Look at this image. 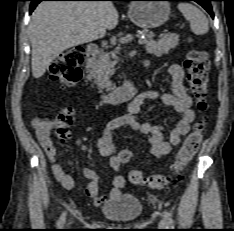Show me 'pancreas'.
Masks as SVG:
<instances>
[{
    "mask_svg": "<svg viewBox=\"0 0 234 231\" xmlns=\"http://www.w3.org/2000/svg\"><path fill=\"white\" fill-rule=\"evenodd\" d=\"M143 33L148 38L145 45L147 52L157 57L167 54L179 44V36L176 34H166L158 41H155L153 40L154 34L147 31ZM116 54L117 51L102 52L92 61L89 77L95 79L99 89H106L111 86L110 76L113 75L114 66L118 61Z\"/></svg>",
    "mask_w": 234,
    "mask_h": 231,
    "instance_id": "pancreas-1",
    "label": "pancreas"
}]
</instances>
